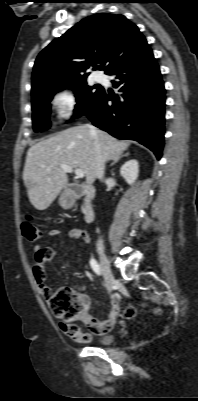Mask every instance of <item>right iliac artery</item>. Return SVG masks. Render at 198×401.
Returning a JSON list of instances; mask_svg holds the SVG:
<instances>
[{
  "label": "right iliac artery",
  "mask_w": 198,
  "mask_h": 401,
  "mask_svg": "<svg viewBox=\"0 0 198 401\" xmlns=\"http://www.w3.org/2000/svg\"><path fill=\"white\" fill-rule=\"evenodd\" d=\"M90 265H91V268L93 269V271H94L96 274L101 275L100 266H99V264L97 263V261H96L95 259H91V260H90Z\"/></svg>",
  "instance_id": "right-iliac-artery-1"
}]
</instances>
